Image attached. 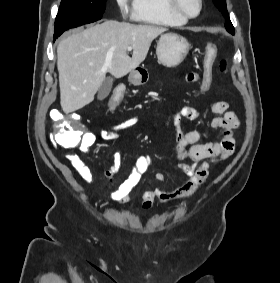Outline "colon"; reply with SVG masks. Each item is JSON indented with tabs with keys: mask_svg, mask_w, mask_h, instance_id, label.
I'll return each mask as SVG.
<instances>
[{
	"mask_svg": "<svg viewBox=\"0 0 280 283\" xmlns=\"http://www.w3.org/2000/svg\"><path fill=\"white\" fill-rule=\"evenodd\" d=\"M217 57V47L214 43H208L204 50V67L200 77L197 98L201 99L202 95L209 92V87L215 70H210ZM220 68L224 71L227 68V61L220 62ZM114 94L110 98V106H116L122 99L125 87H114ZM50 116L55 129L52 132V139L57 146L70 149L76 147L81 140L82 132H88V127H80L78 124L68 119H80L81 115L77 110H57L51 111Z\"/></svg>",
	"mask_w": 280,
	"mask_h": 283,
	"instance_id": "obj_1",
	"label": "colon"
}]
</instances>
